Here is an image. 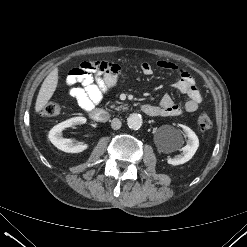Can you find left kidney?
I'll use <instances>...</instances> for the list:
<instances>
[{
	"instance_id": "1",
	"label": "left kidney",
	"mask_w": 247,
	"mask_h": 247,
	"mask_svg": "<svg viewBox=\"0 0 247 247\" xmlns=\"http://www.w3.org/2000/svg\"><path fill=\"white\" fill-rule=\"evenodd\" d=\"M185 135L188 137L187 144L182 147V153L176 155L174 158H169L168 163L171 165H180L188 162L199 147V140L197 135L187 126H182ZM167 143L173 148L181 147L182 137L180 132L172 131L167 135Z\"/></svg>"
}]
</instances>
